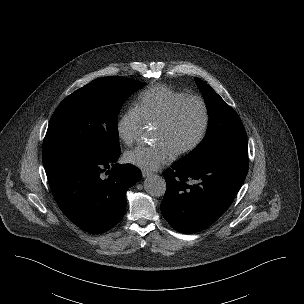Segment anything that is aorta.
<instances>
[{
  "mask_svg": "<svg viewBox=\"0 0 304 304\" xmlns=\"http://www.w3.org/2000/svg\"><path fill=\"white\" fill-rule=\"evenodd\" d=\"M144 188L149 195L160 197L166 191L165 179L159 175H151L145 179Z\"/></svg>",
  "mask_w": 304,
  "mask_h": 304,
  "instance_id": "obj_1",
  "label": "aorta"
}]
</instances>
